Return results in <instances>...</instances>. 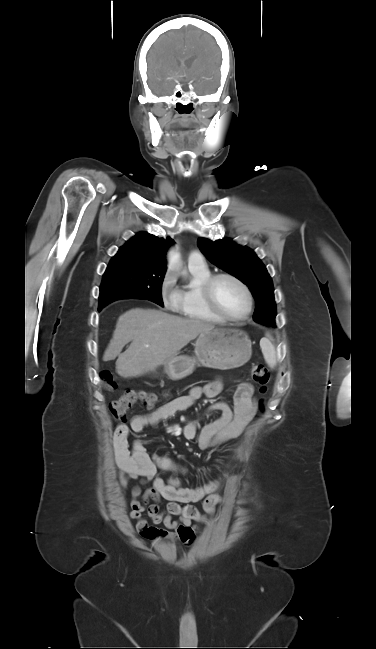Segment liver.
I'll return each instance as SVG.
<instances>
[{"label": "liver", "mask_w": 376, "mask_h": 649, "mask_svg": "<svg viewBox=\"0 0 376 649\" xmlns=\"http://www.w3.org/2000/svg\"><path fill=\"white\" fill-rule=\"evenodd\" d=\"M215 326L196 319H184L157 309H131L116 323L103 361H116V372L123 378L137 377L154 370L200 333ZM131 342L124 353V346Z\"/></svg>", "instance_id": "6515ba94"}]
</instances>
